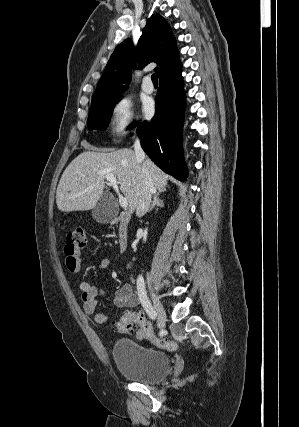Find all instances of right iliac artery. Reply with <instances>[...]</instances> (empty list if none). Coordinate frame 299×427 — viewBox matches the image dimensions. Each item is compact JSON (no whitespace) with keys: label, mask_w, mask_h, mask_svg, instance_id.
<instances>
[{"label":"right iliac artery","mask_w":299,"mask_h":427,"mask_svg":"<svg viewBox=\"0 0 299 427\" xmlns=\"http://www.w3.org/2000/svg\"><path fill=\"white\" fill-rule=\"evenodd\" d=\"M137 293L140 299V302L143 306V308L145 309V311L147 312L148 316L152 319L155 320L156 318V312L153 309L147 294H146V290H145V283H144V278L140 275L137 278Z\"/></svg>","instance_id":"1"}]
</instances>
